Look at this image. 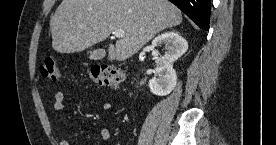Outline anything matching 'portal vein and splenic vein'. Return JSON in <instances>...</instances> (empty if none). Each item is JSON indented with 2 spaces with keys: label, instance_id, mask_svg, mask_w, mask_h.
<instances>
[{
  "label": "portal vein and splenic vein",
  "instance_id": "1",
  "mask_svg": "<svg viewBox=\"0 0 276 145\" xmlns=\"http://www.w3.org/2000/svg\"><path fill=\"white\" fill-rule=\"evenodd\" d=\"M112 33L115 37H123L124 36V31L122 29H115Z\"/></svg>",
  "mask_w": 276,
  "mask_h": 145
}]
</instances>
